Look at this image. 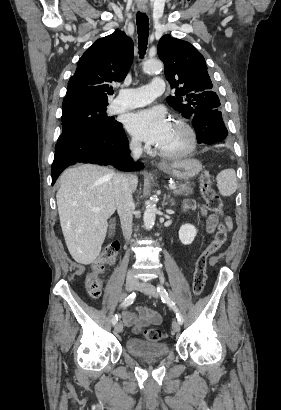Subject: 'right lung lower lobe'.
I'll return each instance as SVG.
<instances>
[{"instance_id": "right-lung-lower-lobe-1", "label": "right lung lower lobe", "mask_w": 281, "mask_h": 410, "mask_svg": "<svg viewBox=\"0 0 281 410\" xmlns=\"http://www.w3.org/2000/svg\"><path fill=\"white\" fill-rule=\"evenodd\" d=\"M128 139L120 126L107 133H82L56 144L52 164V185L60 173L76 163L113 165L123 171L140 170L144 166L129 157Z\"/></svg>"}]
</instances>
